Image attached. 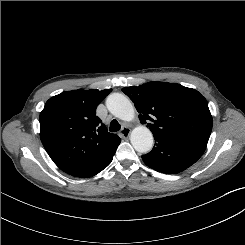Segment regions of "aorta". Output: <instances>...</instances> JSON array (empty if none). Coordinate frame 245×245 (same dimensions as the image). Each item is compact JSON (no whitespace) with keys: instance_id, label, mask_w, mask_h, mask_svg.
I'll return each mask as SVG.
<instances>
[{"instance_id":"1","label":"aorta","mask_w":245,"mask_h":245,"mask_svg":"<svg viewBox=\"0 0 245 245\" xmlns=\"http://www.w3.org/2000/svg\"><path fill=\"white\" fill-rule=\"evenodd\" d=\"M106 106L112 115L121 120L131 121L134 118V107L123 94H110L106 100ZM130 139L132 146L139 153H147L152 149L153 135L145 126L133 129Z\"/></svg>"}]
</instances>
